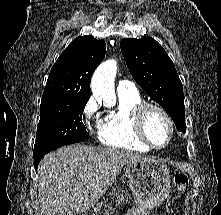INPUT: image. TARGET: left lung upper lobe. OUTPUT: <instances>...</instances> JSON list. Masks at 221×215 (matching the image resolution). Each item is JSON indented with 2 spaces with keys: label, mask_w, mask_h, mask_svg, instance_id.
Here are the masks:
<instances>
[{
  "label": "left lung upper lobe",
  "mask_w": 221,
  "mask_h": 215,
  "mask_svg": "<svg viewBox=\"0 0 221 215\" xmlns=\"http://www.w3.org/2000/svg\"><path fill=\"white\" fill-rule=\"evenodd\" d=\"M120 47L136 82L169 113L177 130L185 132L183 86L162 46L151 37H143L122 39Z\"/></svg>",
  "instance_id": "1"
}]
</instances>
